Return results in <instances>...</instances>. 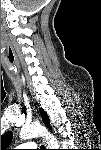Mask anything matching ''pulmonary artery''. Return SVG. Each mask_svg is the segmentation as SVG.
<instances>
[{
	"instance_id": "e3ab8cb5",
	"label": "pulmonary artery",
	"mask_w": 101,
	"mask_h": 150,
	"mask_svg": "<svg viewBox=\"0 0 101 150\" xmlns=\"http://www.w3.org/2000/svg\"><path fill=\"white\" fill-rule=\"evenodd\" d=\"M21 147L27 148V149H33L36 147V144L33 142H28V143L22 144Z\"/></svg>"
}]
</instances>
